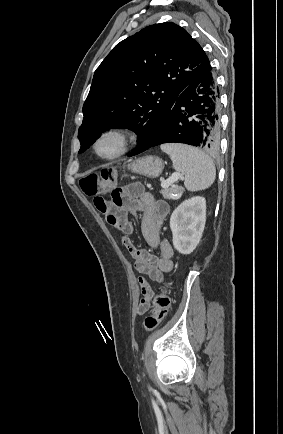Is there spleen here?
<instances>
[{"label":"spleen","instance_id":"obj_1","mask_svg":"<svg viewBox=\"0 0 283 434\" xmlns=\"http://www.w3.org/2000/svg\"><path fill=\"white\" fill-rule=\"evenodd\" d=\"M161 150L167 153L174 169L185 175L184 184L189 191L210 187L216 177L213 160L203 151L183 144H164Z\"/></svg>","mask_w":283,"mask_h":434}]
</instances>
